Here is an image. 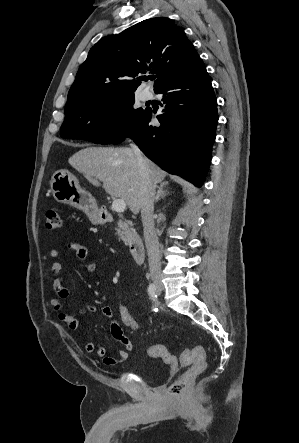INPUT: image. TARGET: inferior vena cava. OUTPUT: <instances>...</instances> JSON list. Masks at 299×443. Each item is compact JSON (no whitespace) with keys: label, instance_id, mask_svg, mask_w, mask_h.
Returning <instances> with one entry per match:
<instances>
[{"label":"inferior vena cava","instance_id":"obj_1","mask_svg":"<svg viewBox=\"0 0 299 443\" xmlns=\"http://www.w3.org/2000/svg\"><path fill=\"white\" fill-rule=\"evenodd\" d=\"M131 147L139 167V200L150 272L152 276H158L161 274V262L159 254V241L155 231L153 219L156 184L151 178L149 169L146 166L145 159L142 156L140 149L135 144H132Z\"/></svg>","mask_w":299,"mask_h":443}]
</instances>
